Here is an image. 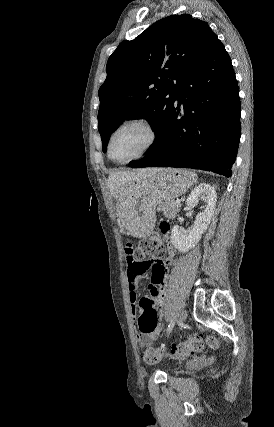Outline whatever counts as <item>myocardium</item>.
<instances>
[{"mask_svg":"<svg viewBox=\"0 0 274 427\" xmlns=\"http://www.w3.org/2000/svg\"><path fill=\"white\" fill-rule=\"evenodd\" d=\"M131 125H140L142 127H144L148 133H149V141L146 144V146L135 156H133L132 158H130L129 160L126 161H119L117 159H115L111 153V143L113 140V137L115 136V134L120 131L121 129L131 126ZM160 135H159V131L156 127V125L154 124V122L145 116H137V117H133L129 120H126L125 122L119 124L109 135L108 141H107V155L108 157L116 164H120V165H124V164H129L135 160L141 159L144 156H146L148 153H150L152 151V149L157 145L158 141H159Z\"/></svg>","mask_w":274,"mask_h":427,"instance_id":"f54148a6","label":"myocardium"}]
</instances>
